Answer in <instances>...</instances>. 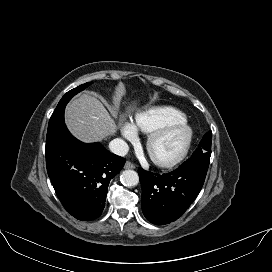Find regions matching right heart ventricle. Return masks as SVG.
<instances>
[{"label":"right heart ventricle","mask_w":272,"mask_h":272,"mask_svg":"<svg viewBox=\"0 0 272 272\" xmlns=\"http://www.w3.org/2000/svg\"><path fill=\"white\" fill-rule=\"evenodd\" d=\"M184 120L186 117L180 110L170 106H160L137 114L133 125L139 131L151 133L170 123Z\"/></svg>","instance_id":"1"}]
</instances>
